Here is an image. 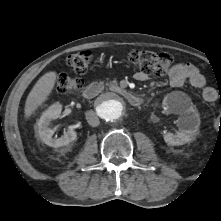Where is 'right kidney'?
Listing matches in <instances>:
<instances>
[{
    "label": "right kidney",
    "mask_w": 221,
    "mask_h": 221,
    "mask_svg": "<svg viewBox=\"0 0 221 221\" xmlns=\"http://www.w3.org/2000/svg\"><path fill=\"white\" fill-rule=\"evenodd\" d=\"M62 106L60 103L51 105L43 112L40 119L35 125V132L40 140L48 146L57 148L66 146L72 141L76 140L77 133L73 129H68L60 138H53L54 130L49 127L50 122L60 117Z\"/></svg>",
    "instance_id": "right-kidney-1"
}]
</instances>
